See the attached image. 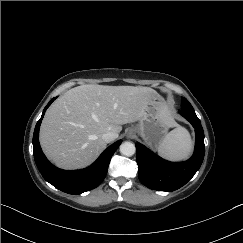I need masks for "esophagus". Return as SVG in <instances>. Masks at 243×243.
I'll list each match as a JSON object with an SVG mask.
<instances>
[{"label":"esophagus","instance_id":"obj_1","mask_svg":"<svg viewBox=\"0 0 243 243\" xmlns=\"http://www.w3.org/2000/svg\"><path fill=\"white\" fill-rule=\"evenodd\" d=\"M135 135V132L133 130H130L128 133V136L132 138Z\"/></svg>","mask_w":243,"mask_h":243}]
</instances>
